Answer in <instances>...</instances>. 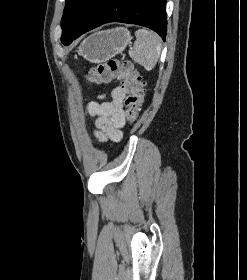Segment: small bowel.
<instances>
[{"label": "small bowel", "mask_w": 247, "mask_h": 280, "mask_svg": "<svg viewBox=\"0 0 247 280\" xmlns=\"http://www.w3.org/2000/svg\"><path fill=\"white\" fill-rule=\"evenodd\" d=\"M125 92L122 87H116L112 92L113 101L88 105V111L96 116L95 136L102 142H118L122 139L121 128L125 124V114L122 108V100Z\"/></svg>", "instance_id": "c3829d8e"}]
</instances>
